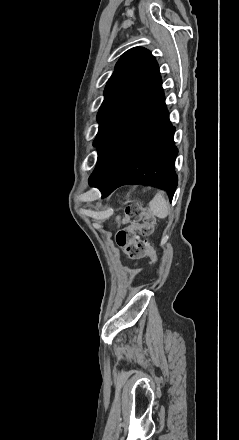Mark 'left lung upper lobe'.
<instances>
[{"instance_id":"left-lung-upper-lobe-1","label":"left lung upper lobe","mask_w":239,"mask_h":440,"mask_svg":"<svg viewBox=\"0 0 239 440\" xmlns=\"http://www.w3.org/2000/svg\"><path fill=\"white\" fill-rule=\"evenodd\" d=\"M159 76L158 64L149 50L134 47L121 56L104 91L105 98L97 115L100 125L94 146L141 99Z\"/></svg>"}]
</instances>
